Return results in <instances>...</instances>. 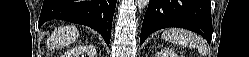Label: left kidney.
I'll return each instance as SVG.
<instances>
[{"label": "left kidney", "mask_w": 249, "mask_h": 57, "mask_svg": "<svg viewBox=\"0 0 249 57\" xmlns=\"http://www.w3.org/2000/svg\"><path fill=\"white\" fill-rule=\"evenodd\" d=\"M155 57H178V55L174 52L173 49L166 48L156 53Z\"/></svg>", "instance_id": "obj_1"}]
</instances>
